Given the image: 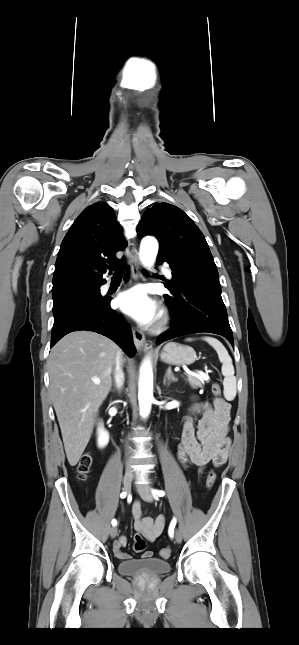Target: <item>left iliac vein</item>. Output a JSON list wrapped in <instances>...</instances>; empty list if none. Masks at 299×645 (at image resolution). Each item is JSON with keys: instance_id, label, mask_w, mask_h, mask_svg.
<instances>
[{"instance_id": "obj_1", "label": "left iliac vein", "mask_w": 299, "mask_h": 645, "mask_svg": "<svg viewBox=\"0 0 299 645\" xmlns=\"http://www.w3.org/2000/svg\"><path fill=\"white\" fill-rule=\"evenodd\" d=\"M139 493H140V495H141V497H142V499L144 501L153 502L154 497H153V495L150 493V491L148 489H146V488L140 489ZM175 539H176L177 543H181V541H182L181 533L178 530H176V532H175Z\"/></svg>"}]
</instances>
